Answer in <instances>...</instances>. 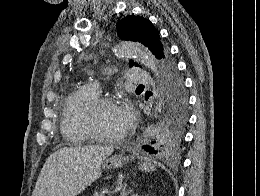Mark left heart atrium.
<instances>
[{
    "mask_svg": "<svg viewBox=\"0 0 260 196\" xmlns=\"http://www.w3.org/2000/svg\"><path fill=\"white\" fill-rule=\"evenodd\" d=\"M121 114L125 126H128L133 119V111L127 104H121Z\"/></svg>",
    "mask_w": 260,
    "mask_h": 196,
    "instance_id": "1",
    "label": "left heart atrium"
}]
</instances>
